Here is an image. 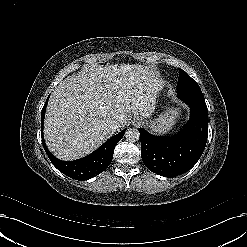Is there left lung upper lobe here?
Wrapping results in <instances>:
<instances>
[{
  "mask_svg": "<svg viewBox=\"0 0 247 247\" xmlns=\"http://www.w3.org/2000/svg\"><path fill=\"white\" fill-rule=\"evenodd\" d=\"M196 85L198 84L194 79H192L184 70L179 69L177 89L188 88Z\"/></svg>",
  "mask_w": 247,
  "mask_h": 247,
  "instance_id": "5c2ea615",
  "label": "left lung upper lobe"
}]
</instances>
